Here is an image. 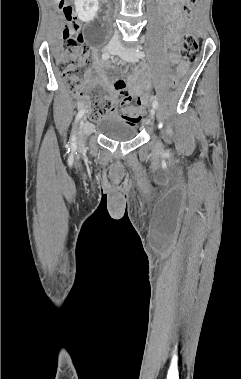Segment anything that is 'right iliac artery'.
I'll return each instance as SVG.
<instances>
[{
	"label": "right iliac artery",
	"mask_w": 241,
	"mask_h": 379,
	"mask_svg": "<svg viewBox=\"0 0 241 379\" xmlns=\"http://www.w3.org/2000/svg\"><path fill=\"white\" fill-rule=\"evenodd\" d=\"M109 57H110V55H109V53L106 52V51L102 54V59H103V60H107V59H109ZM84 112H85L84 109H81V110L78 112V114H77V116H76V119H75V125L78 123V121H79V120L81 119V117L84 115ZM70 146H71V148H73V149L76 148V132H75V127H74V129H73V133H72V136H71Z\"/></svg>",
	"instance_id": "82829eb1"
}]
</instances>
